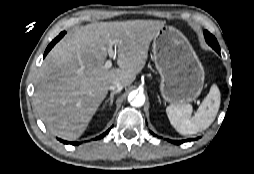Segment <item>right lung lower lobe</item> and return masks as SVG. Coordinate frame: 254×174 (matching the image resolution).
Listing matches in <instances>:
<instances>
[{
  "mask_svg": "<svg viewBox=\"0 0 254 174\" xmlns=\"http://www.w3.org/2000/svg\"><path fill=\"white\" fill-rule=\"evenodd\" d=\"M66 32H61L59 34L58 37H56L49 45L48 47L46 48L45 50V53H44V57L47 55V53L51 50V48L65 35ZM110 130V129H109ZM109 130H107L105 133H103L102 135H100L99 137H97V139H100L102 137H104L108 132ZM60 140L61 142L65 143V144H72V145H79L80 142H67V141H64V140H61V139H58Z\"/></svg>",
  "mask_w": 254,
  "mask_h": 174,
  "instance_id": "obj_1",
  "label": "right lung lower lobe"
}]
</instances>
